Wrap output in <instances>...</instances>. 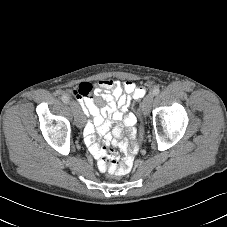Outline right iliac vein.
I'll list each match as a JSON object with an SVG mask.
<instances>
[{"mask_svg": "<svg viewBox=\"0 0 227 227\" xmlns=\"http://www.w3.org/2000/svg\"><path fill=\"white\" fill-rule=\"evenodd\" d=\"M70 107H71V110L73 112L76 125L79 128H81L83 126V123H84V116H83V113L81 111L80 106L75 101H71Z\"/></svg>", "mask_w": 227, "mask_h": 227, "instance_id": "1", "label": "right iliac vein"}]
</instances>
